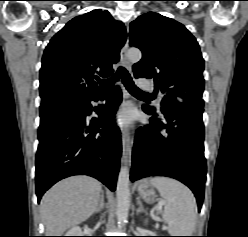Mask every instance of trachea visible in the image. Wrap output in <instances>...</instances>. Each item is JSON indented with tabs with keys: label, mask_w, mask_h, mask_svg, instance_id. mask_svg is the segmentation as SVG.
<instances>
[{
	"label": "trachea",
	"mask_w": 248,
	"mask_h": 237,
	"mask_svg": "<svg viewBox=\"0 0 248 237\" xmlns=\"http://www.w3.org/2000/svg\"><path fill=\"white\" fill-rule=\"evenodd\" d=\"M122 78V82L126 86L127 90L134 95H141V96H147L151 97L152 94H149L147 92H143L140 89L136 87L134 84L130 74L124 67H119L117 72L109 79L106 80H99V83L102 87V92H109L112 90L114 83Z\"/></svg>",
	"instance_id": "1"
}]
</instances>
